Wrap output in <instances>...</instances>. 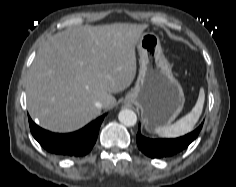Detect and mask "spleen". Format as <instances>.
<instances>
[{"instance_id":"spleen-1","label":"spleen","mask_w":236,"mask_h":187,"mask_svg":"<svg viewBox=\"0 0 236 187\" xmlns=\"http://www.w3.org/2000/svg\"><path fill=\"white\" fill-rule=\"evenodd\" d=\"M204 101H205V93L204 90L201 89L197 102L195 106L192 108L190 113H188L187 115H185L172 125L156 128L155 133L161 137L175 138L185 135L188 132L192 131L202 113Z\"/></svg>"}]
</instances>
